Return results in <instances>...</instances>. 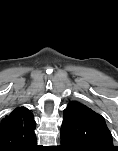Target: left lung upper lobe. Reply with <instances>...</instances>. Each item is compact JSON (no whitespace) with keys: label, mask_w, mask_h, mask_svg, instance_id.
Instances as JSON below:
<instances>
[{"label":"left lung upper lobe","mask_w":118,"mask_h":151,"mask_svg":"<svg viewBox=\"0 0 118 151\" xmlns=\"http://www.w3.org/2000/svg\"><path fill=\"white\" fill-rule=\"evenodd\" d=\"M61 135L72 139L83 151H112V135L103 116L86 105L71 101L64 110Z\"/></svg>","instance_id":"left-lung-upper-lobe-1"}]
</instances>
